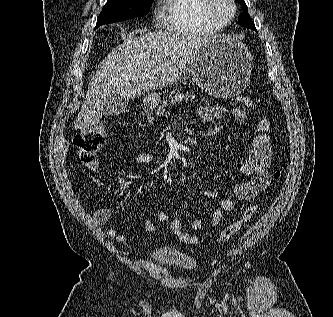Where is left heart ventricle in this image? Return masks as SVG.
<instances>
[{
    "instance_id": "obj_1",
    "label": "left heart ventricle",
    "mask_w": 333,
    "mask_h": 317,
    "mask_svg": "<svg viewBox=\"0 0 333 317\" xmlns=\"http://www.w3.org/2000/svg\"><path fill=\"white\" fill-rule=\"evenodd\" d=\"M217 13L222 17V18H227L231 14V6L228 2L225 0H220L217 3L216 7Z\"/></svg>"
}]
</instances>
